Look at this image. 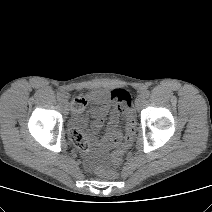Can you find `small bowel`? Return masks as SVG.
Here are the masks:
<instances>
[{
	"label": "small bowel",
	"mask_w": 212,
	"mask_h": 212,
	"mask_svg": "<svg viewBox=\"0 0 212 212\" xmlns=\"http://www.w3.org/2000/svg\"><path fill=\"white\" fill-rule=\"evenodd\" d=\"M107 98L108 94L105 91H98L93 95V101L95 103V107L91 110V116L93 118V122L91 124V130L93 133H97L101 129L105 121V118L109 113L110 107L107 103ZM79 101L81 102L82 107L78 109V112H81L85 108L87 100L81 98L79 99ZM118 121H119L118 112L116 111L112 112L109 117L107 134L102 138L100 142L102 148L110 149L116 147L120 143L122 136L121 133L117 130ZM74 125L76 127H74L70 131V136H74L80 141L84 142L87 147L86 137L78 128L80 127V125H78L76 122H74Z\"/></svg>",
	"instance_id": "1"
}]
</instances>
